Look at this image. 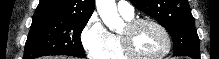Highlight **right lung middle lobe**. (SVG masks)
<instances>
[{
	"mask_svg": "<svg viewBox=\"0 0 219 59\" xmlns=\"http://www.w3.org/2000/svg\"><path fill=\"white\" fill-rule=\"evenodd\" d=\"M89 18L33 16L23 59L45 55L85 57L80 35Z\"/></svg>",
	"mask_w": 219,
	"mask_h": 59,
	"instance_id": "1",
	"label": "right lung middle lobe"
}]
</instances>
